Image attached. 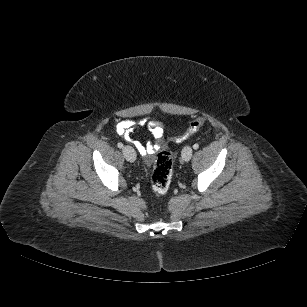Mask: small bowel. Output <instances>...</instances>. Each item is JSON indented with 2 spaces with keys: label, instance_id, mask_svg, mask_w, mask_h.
<instances>
[{
  "label": "small bowel",
  "instance_id": "obj_1",
  "mask_svg": "<svg viewBox=\"0 0 307 307\" xmlns=\"http://www.w3.org/2000/svg\"><path fill=\"white\" fill-rule=\"evenodd\" d=\"M139 126H147L149 131L152 133L155 142H148L146 144H142L140 142H134L136 149L143 156H149L153 154L155 151L160 149L163 144V129L164 124L160 121H149L147 119H141L139 121L134 120H124L116 124V132L124 136L125 138H129L131 133L137 129Z\"/></svg>",
  "mask_w": 307,
  "mask_h": 307
}]
</instances>
